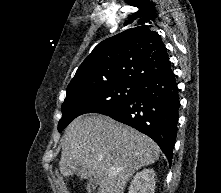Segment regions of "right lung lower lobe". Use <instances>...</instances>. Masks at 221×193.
Instances as JSON below:
<instances>
[{"instance_id":"right-lung-lower-lobe-1","label":"right lung lower lobe","mask_w":221,"mask_h":193,"mask_svg":"<svg viewBox=\"0 0 221 193\" xmlns=\"http://www.w3.org/2000/svg\"><path fill=\"white\" fill-rule=\"evenodd\" d=\"M178 92L173 72L151 77L133 98L99 113L148 135L171 164L179 117Z\"/></svg>"}]
</instances>
